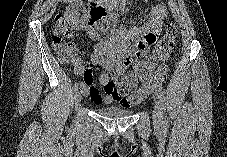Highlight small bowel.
<instances>
[{"instance_id":"1","label":"small bowel","mask_w":227,"mask_h":157,"mask_svg":"<svg viewBox=\"0 0 227 157\" xmlns=\"http://www.w3.org/2000/svg\"><path fill=\"white\" fill-rule=\"evenodd\" d=\"M167 14V8L163 4H157L131 25L122 26L115 33L90 32L95 44L85 52L89 62L84 63L78 58L73 62L74 74L77 77H83L82 94L97 105L113 102L122 104L123 94L115 88L110 74L123 75L132 62H136L134 71L126 75L130 80L131 90L137 86L144 78L137 72L141 63L138 62V58L147 54L148 46L161 32ZM142 19L145 21L140 23ZM92 65L100 66L104 70L99 78L102 92L94 85L92 74L89 78L87 77L91 73Z\"/></svg>"}]
</instances>
